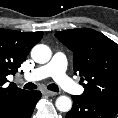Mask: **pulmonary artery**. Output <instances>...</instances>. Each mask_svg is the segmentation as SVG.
<instances>
[{
  "label": "pulmonary artery",
  "mask_w": 118,
  "mask_h": 118,
  "mask_svg": "<svg viewBox=\"0 0 118 118\" xmlns=\"http://www.w3.org/2000/svg\"><path fill=\"white\" fill-rule=\"evenodd\" d=\"M67 59L65 55L56 53L51 61L43 66H39L24 74L26 81H38L51 77L65 91L72 93H82L83 88L78 86L67 74Z\"/></svg>",
  "instance_id": "1"
}]
</instances>
